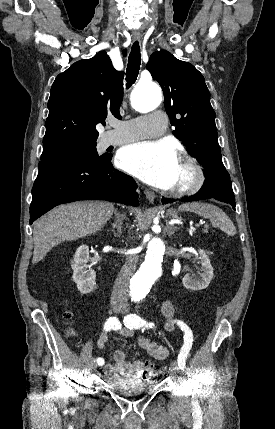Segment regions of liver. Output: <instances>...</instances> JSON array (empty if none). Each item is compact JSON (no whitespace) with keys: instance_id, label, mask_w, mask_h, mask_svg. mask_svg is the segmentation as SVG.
Returning a JSON list of instances; mask_svg holds the SVG:
<instances>
[{"instance_id":"6515ba94","label":"liver","mask_w":275,"mask_h":429,"mask_svg":"<svg viewBox=\"0 0 275 429\" xmlns=\"http://www.w3.org/2000/svg\"><path fill=\"white\" fill-rule=\"evenodd\" d=\"M114 211V205L108 202H76L54 208L34 223L33 264L63 241L96 233Z\"/></svg>"}]
</instances>
